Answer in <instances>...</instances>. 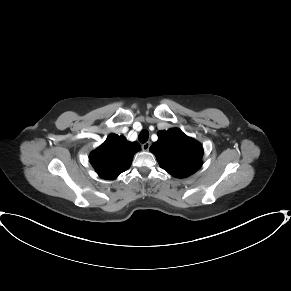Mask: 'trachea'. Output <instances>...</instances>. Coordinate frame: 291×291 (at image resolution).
<instances>
[{
  "label": "trachea",
  "instance_id": "3493384b",
  "mask_svg": "<svg viewBox=\"0 0 291 291\" xmlns=\"http://www.w3.org/2000/svg\"><path fill=\"white\" fill-rule=\"evenodd\" d=\"M148 138H149V132L147 130L144 129L139 133V136H138L139 142L145 143L147 142Z\"/></svg>",
  "mask_w": 291,
  "mask_h": 291
}]
</instances>
